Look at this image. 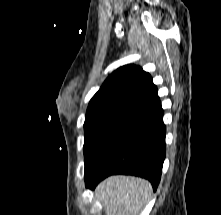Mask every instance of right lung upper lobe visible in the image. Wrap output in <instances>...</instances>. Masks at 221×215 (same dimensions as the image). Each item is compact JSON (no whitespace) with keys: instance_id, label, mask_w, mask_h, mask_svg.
<instances>
[{"instance_id":"right-lung-upper-lobe-1","label":"right lung upper lobe","mask_w":221,"mask_h":215,"mask_svg":"<svg viewBox=\"0 0 221 215\" xmlns=\"http://www.w3.org/2000/svg\"><path fill=\"white\" fill-rule=\"evenodd\" d=\"M158 98L157 87L149 73L139 66L126 65L105 80L89 104L116 103L139 109Z\"/></svg>"}]
</instances>
